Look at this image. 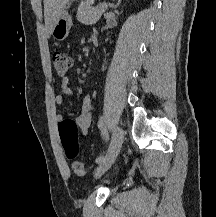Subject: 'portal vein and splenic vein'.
<instances>
[{
    "label": "portal vein and splenic vein",
    "mask_w": 216,
    "mask_h": 217,
    "mask_svg": "<svg viewBox=\"0 0 216 217\" xmlns=\"http://www.w3.org/2000/svg\"><path fill=\"white\" fill-rule=\"evenodd\" d=\"M100 5H102V4H100ZM104 5H105V6H102V7H103V8L105 7V9H106V8H107V7H106V4H104Z\"/></svg>",
    "instance_id": "18ae733b"
}]
</instances>
